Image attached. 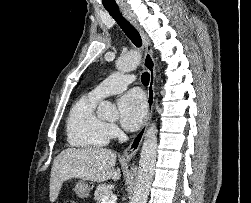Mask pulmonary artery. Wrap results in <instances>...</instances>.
<instances>
[{"mask_svg": "<svg viewBox=\"0 0 251 203\" xmlns=\"http://www.w3.org/2000/svg\"><path fill=\"white\" fill-rule=\"evenodd\" d=\"M134 80L135 78L131 74L116 73L92 89L90 94L98 99H102L108 95L125 90Z\"/></svg>", "mask_w": 251, "mask_h": 203, "instance_id": "e3ab8cb5", "label": "pulmonary artery"}]
</instances>
